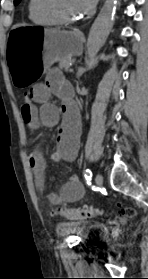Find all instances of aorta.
Here are the masks:
<instances>
[{
	"mask_svg": "<svg viewBox=\"0 0 148 279\" xmlns=\"http://www.w3.org/2000/svg\"><path fill=\"white\" fill-rule=\"evenodd\" d=\"M116 6L117 0H106L90 29L87 40V66L89 67L113 27Z\"/></svg>",
	"mask_w": 148,
	"mask_h": 279,
	"instance_id": "762f6f07",
	"label": "aorta"
}]
</instances>
